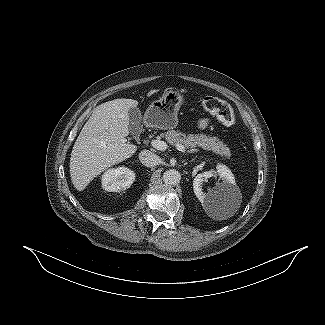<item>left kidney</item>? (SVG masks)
<instances>
[{
    "label": "left kidney",
    "instance_id": "left-kidney-1",
    "mask_svg": "<svg viewBox=\"0 0 325 325\" xmlns=\"http://www.w3.org/2000/svg\"><path fill=\"white\" fill-rule=\"evenodd\" d=\"M217 175L222 182L216 183L211 191L203 192V182ZM193 190L202 205L210 207L212 204H218L221 200H227L229 196L238 191V188L231 170L220 164L217 166V171H206L198 174L193 181Z\"/></svg>",
    "mask_w": 325,
    "mask_h": 325
}]
</instances>
